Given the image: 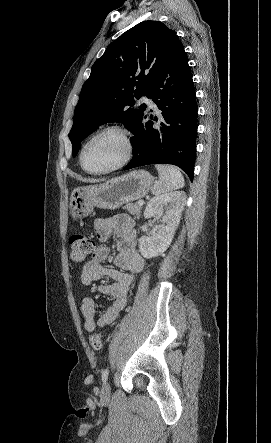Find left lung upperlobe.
I'll return each instance as SVG.
<instances>
[{
    "mask_svg": "<svg viewBox=\"0 0 271 443\" xmlns=\"http://www.w3.org/2000/svg\"><path fill=\"white\" fill-rule=\"evenodd\" d=\"M176 33L159 21H144L122 34L95 61L84 83L69 133L72 155L98 126L123 123L134 132L146 105L134 107L147 95L156 72L180 45Z\"/></svg>",
    "mask_w": 271,
    "mask_h": 443,
    "instance_id": "left-lung-upper-lobe-1",
    "label": "left lung upper lobe"
}]
</instances>
